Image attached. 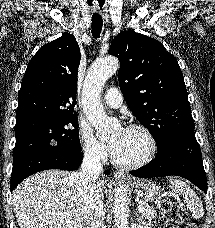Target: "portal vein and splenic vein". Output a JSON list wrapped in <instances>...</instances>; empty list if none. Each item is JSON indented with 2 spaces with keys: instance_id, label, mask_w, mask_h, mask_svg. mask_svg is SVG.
Masks as SVG:
<instances>
[{
  "instance_id": "portal-vein-and-splenic-vein-1",
  "label": "portal vein and splenic vein",
  "mask_w": 215,
  "mask_h": 228,
  "mask_svg": "<svg viewBox=\"0 0 215 228\" xmlns=\"http://www.w3.org/2000/svg\"><path fill=\"white\" fill-rule=\"evenodd\" d=\"M138 210L139 212H145L146 208L145 206H139Z\"/></svg>"
}]
</instances>
